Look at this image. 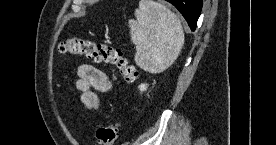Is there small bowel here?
<instances>
[{"label":"small bowel","mask_w":276,"mask_h":145,"mask_svg":"<svg viewBox=\"0 0 276 145\" xmlns=\"http://www.w3.org/2000/svg\"><path fill=\"white\" fill-rule=\"evenodd\" d=\"M76 87L82 92L81 100L85 107L97 110L99 98L96 92L110 91L112 83L102 70L90 64H81L78 67Z\"/></svg>","instance_id":"1"}]
</instances>
